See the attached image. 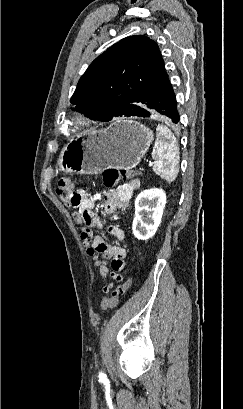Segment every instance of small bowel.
I'll use <instances>...</instances> for the list:
<instances>
[{"label":"small bowel","mask_w":243,"mask_h":409,"mask_svg":"<svg viewBox=\"0 0 243 409\" xmlns=\"http://www.w3.org/2000/svg\"><path fill=\"white\" fill-rule=\"evenodd\" d=\"M139 187L140 181L135 179L122 184L114 191L104 194L102 204L106 214L114 215L119 210L126 208L133 193ZM77 194L80 197V202L72 217L79 226L80 237L83 240L86 253L98 268L100 275L103 278L110 275L112 278V282H107L102 287V292L107 294L113 288L114 282H120L123 279L121 272L125 268L126 252L122 247L109 245L102 237L94 234L92 228L104 227L103 221L94 210L96 198L90 196L84 189L77 190ZM106 230L115 236L118 241H125V234L118 225H108ZM106 259L110 260V264L106 262Z\"/></svg>","instance_id":"c3829d8e"}]
</instances>
